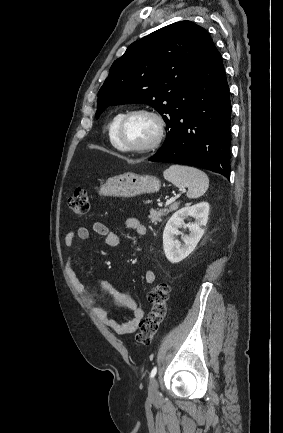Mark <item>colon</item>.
Segmentation results:
<instances>
[{"label":"colon","instance_id":"colon-1","mask_svg":"<svg viewBox=\"0 0 283 433\" xmlns=\"http://www.w3.org/2000/svg\"><path fill=\"white\" fill-rule=\"evenodd\" d=\"M71 211L84 216L90 208V194L85 187L75 189L68 202ZM170 296V285L166 281L156 284L148 293V300L151 305L149 314L139 324V332L136 341L141 345H149L157 334L160 325L167 315V303Z\"/></svg>","mask_w":283,"mask_h":433}]
</instances>
